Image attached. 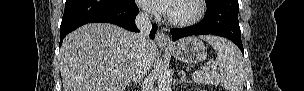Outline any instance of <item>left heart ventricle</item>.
<instances>
[{
	"label": "left heart ventricle",
	"mask_w": 304,
	"mask_h": 91,
	"mask_svg": "<svg viewBox=\"0 0 304 91\" xmlns=\"http://www.w3.org/2000/svg\"><path fill=\"white\" fill-rule=\"evenodd\" d=\"M195 12L196 6L193 0H176L172 2L168 15L173 19H183L193 16Z\"/></svg>",
	"instance_id": "left-heart-ventricle-1"
}]
</instances>
